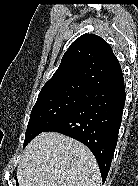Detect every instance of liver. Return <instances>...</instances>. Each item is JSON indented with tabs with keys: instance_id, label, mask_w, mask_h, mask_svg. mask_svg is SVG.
<instances>
[{
	"instance_id": "1",
	"label": "liver",
	"mask_w": 138,
	"mask_h": 186,
	"mask_svg": "<svg viewBox=\"0 0 138 186\" xmlns=\"http://www.w3.org/2000/svg\"><path fill=\"white\" fill-rule=\"evenodd\" d=\"M19 186H101L97 161L79 141L43 132L25 148L17 168Z\"/></svg>"
}]
</instances>
